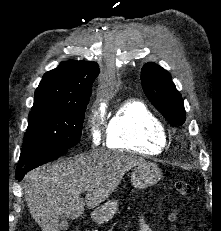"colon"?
Here are the masks:
<instances>
[{
    "instance_id": "colon-1",
    "label": "colon",
    "mask_w": 221,
    "mask_h": 231,
    "mask_svg": "<svg viewBox=\"0 0 221 231\" xmlns=\"http://www.w3.org/2000/svg\"><path fill=\"white\" fill-rule=\"evenodd\" d=\"M175 190L179 197L183 198L191 193V186L184 181H178L175 184ZM176 216V212L173 213V218Z\"/></svg>"
}]
</instances>
